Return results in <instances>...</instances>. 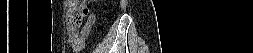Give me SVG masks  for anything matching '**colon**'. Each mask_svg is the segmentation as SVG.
Here are the masks:
<instances>
[{
    "label": "colon",
    "instance_id": "colon-1",
    "mask_svg": "<svg viewBox=\"0 0 253 53\" xmlns=\"http://www.w3.org/2000/svg\"><path fill=\"white\" fill-rule=\"evenodd\" d=\"M67 3V24L78 28L83 20L90 15V10L84 4L85 1L69 0Z\"/></svg>",
    "mask_w": 253,
    "mask_h": 53
}]
</instances>
